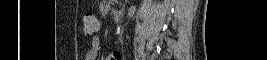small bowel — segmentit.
<instances>
[{"label":"small bowel","instance_id":"c3829d8e","mask_svg":"<svg viewBox=\"0 0 267 60\" xmlns=\"http://www.w3.org/2000/svg\"><path fill=\"white\" fill-rule=\"evenodd\" d=\"M101 52V40L99 34H93L91 36V44L90 48L86 53V60H98V56ZM122 56L119 52L114 51L111 52L107 57L106 60H121Z\"/></svg>","mask_w":267,"mask_h":60}]
</instances>
